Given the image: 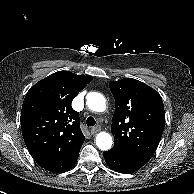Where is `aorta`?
I'll use <instances>...</instances> for the list:
<instances>
[{
  "label": "aorta",
  "instance_id": "1",
  "mask_svg": "<svg viewBox=\"0 0 194 194\" xmlns=\"http://www.w3.org/2000/svg\"><path fill=\"white\" fill-rule=\"evenodd\" d=\"M88 108L95 112H103L106 109V100L101 93L90 92L86 96ZM96 145L100 150H109L112 146V137L107 132H100L96 136Z\"/></svg>",
  "mask_w": 194,
  "mask_h": 194
}]
</instances>
